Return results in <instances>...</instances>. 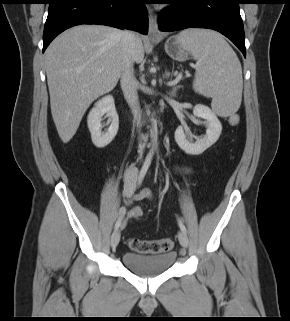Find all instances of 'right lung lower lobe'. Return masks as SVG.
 Segmentation results:
<instances>
[{
    "instance_id": "98d812e1",
    "label": "right lung lower lobe",
    "mask_w": 290,
    "mask_h": 321,
    "mask_svg": "<svg viewBox=\"0 0 290 321\" xmlns=\"http://www.w3.org/2000/svg\"><path fill=\"white\" fill-rule=\"evenodd\" d=\"M145 0H50L43 52L64 30L79 24H103L148 33Z\"/></svg>"
}]
</instances>
